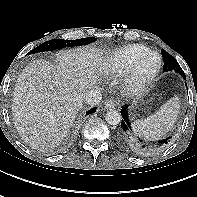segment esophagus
Segmentation results:
<instances>
[{
	"instance_id": "esophagus-1",
	"label": "esophagus",
	"mask_w": 197,
	"mask_h": 197,
	"mask_svg": "<svg viewBox=\"0 0 197 197\" xmlns=\"http://www.w3.org/2000/svg\"><path fill=\"white\" fill-rule=\"evenodd\" d=\"M117 106V103H116V101H114V100H106L105 102H104V108L105 109H113V108H115Z\"/></svg>"
}]
</instances>
